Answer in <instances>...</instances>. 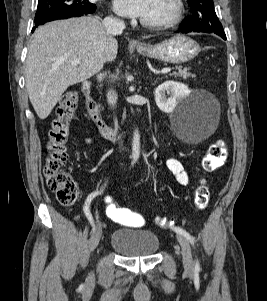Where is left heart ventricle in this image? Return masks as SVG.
Here are the masks:
<instances>
[{
    "label": "left heart ventricle",
    "instance_id": "left-heart-ventricle-1",
    "mask_svg": "<svg viewBox=\"0 0 267 301\" xmlns=\"http://www.w3.org/2000/svg\"><path fill=\"white\" fill-rule=\"evenodd\" d=\"M174 9L173 0H149L148 8L142 19L160 21L168 18Z\"/></svg>",
    "mask_w": 267,
    "mask_h": 301
}]
</instances>
